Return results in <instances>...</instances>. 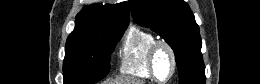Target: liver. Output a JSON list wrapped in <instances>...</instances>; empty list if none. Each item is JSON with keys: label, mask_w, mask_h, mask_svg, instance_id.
I'll list each match as a JSON object with an SVG mask.
<instances>
[{"label": "liver", "mask_w": 260, "mask_h": 84, "mask_svg": "<svg viewBox=\"0 0 260 84\" xmlns=\"http://www.w3.org/2000/svg\"><path fill=\"white\" fill-rule=\"evenodd\" d=\"M105 84H143L141 81H133V80H128V79H121V80H115L110 83H105Z\"/></svg>", "instance_id": "liver-1"}]
</instances>
